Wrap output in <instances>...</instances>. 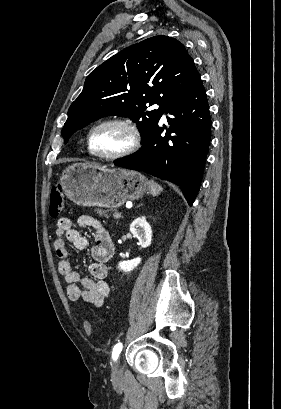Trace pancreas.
I'll use <instances>...</instances> for the list:
<instances>
[{
	"mask_svg": "<svg viewBox=\"0 0 281 409\" xmlns=\"http://www.w3.org/2000/svg\"><path fill=\"white\" fill-rule=\"evenodd\" d=\"M106 213H108V211H101L100 215H105V217H108V215H106Z\"/></svg>",
	"mask_w": 281,
	"mask_h": 409,
	"instance_id": "cf45deb5",
	"label": "pancreas"
}]
</instances>
